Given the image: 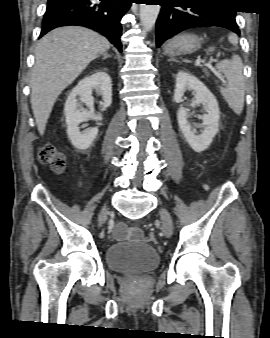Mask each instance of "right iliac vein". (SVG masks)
<instances>
[{
  "instance_id": "63e3f726",
  "label": "right iliac vein",
  "mask_w": 270,
  "mask_h": 338,
  "mask_svg": "<svg viewBox=\"0 0 270 338\" xmlns=\"http://www.w3.org/2000/svg\"><path fill=\"white\" fill-rule=\"evenodd\" d=\"M107 213H108V209L107 208H103L101 210V212L99 214V219H98L99 224H102L104 222Z\"/></svg>"
}]
</instances>
